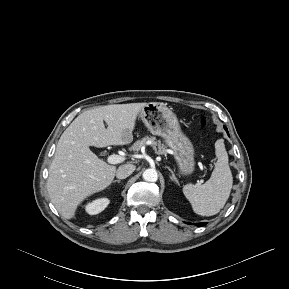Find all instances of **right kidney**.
<instances>
[{"label": "right kidney", "instance_id": "obj_1", "mask_svg": "<svg viewBox=\"0 0 289 289\" xmlns=\"http://www.w3.org/2000/svg\"><path fill=\"white\" fill-rule=\"evenodd\" d=\"M108 204L109 200L107 198H100L88 203L85 209L88 214L96 215L102 212L108 206Z\"/></svg>", "mask_w": 289, "mask_h": 289}]
</instances>
